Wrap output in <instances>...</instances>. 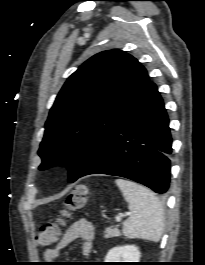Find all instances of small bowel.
Instances as JSON below:
<instances>
[{"label": "small bowel", "mask_w": 205, "mask_h": 265, "mask_svg": "<svg viewBox=\"0 0 205 265\" xmlns=\"http://www.w3.org/2000/svg\"><path fill=\"white\" fill-rule=\"evenodd\" d=\"M76 239H81V251L84 256H88L92 250V242L94 239V227L85 220L80 219L74 222L65 231L61 239L58 241L54 248H49L44 253L46 261H54L59 258L61 250L66 248L71 242Z\"/></svg>", "instance_id": "obj_1"}]
</instances>
